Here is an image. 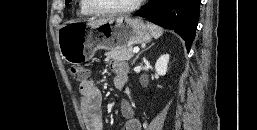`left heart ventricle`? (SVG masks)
Segmentation results:
<instances>
[{"label":"left heart ventricle","mask_w":257,"mask_h":130,"mask_svg":"<svg viewBox=\"0 0 257 130\" xmlns=\"http://www.w3.org/2000/svg\"><path fill=\"white\" fill-rule=\"evenodd\" d=\"M99 8H121L130 5L134 0H91Z\"/></svg>","instance_id":"left-heart-ventricle-1"}]
</instances>
